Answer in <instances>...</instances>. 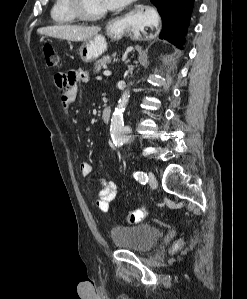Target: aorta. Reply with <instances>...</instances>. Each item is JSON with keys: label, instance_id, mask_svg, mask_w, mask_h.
Returning <instances> with one entry per match:
<instances>
[{"label": "aorta", "instance_id": "1", "mask_svg": "<svg viewBox=\"0 0 247 299\" xmlns=\"http://www.w3.org/2000/svg\"><path fill=\"white\" fill-rule=\"evenodd\" d=\"M129 91H124L119 99L118 106L111 118L110 134L115 146H121L129 140L131 130L124 124V111L129 100Z\"/></svg>", "mask_w": 247, "mask_h": 299}]
</instances>
